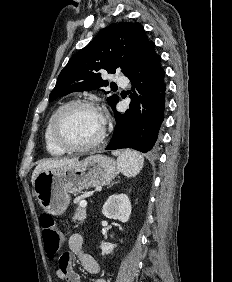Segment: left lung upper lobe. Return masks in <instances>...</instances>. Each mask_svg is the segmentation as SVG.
<instances>
[{"label": "left lung upper lobe", "mask_w": 232, "mask_h": 282, "mask_svg": "<svg viewBox=\"0 0 232 282\" xmlns=\"http://www.w3.org/2000/svg\"><path fill=\"white\" fill-rule=\"evenodd\" d=\"M149 43L143 26L137 22L114 23L103 29L69 60L58 76L49 101L72 92L107 86L108 81L101 77L105 71L115 73L120 67L126 76L140 61ZM107 101L113 107L118 102V96L112 95Z\"/></svg>", "instance_id": "1"}]
</instances>
